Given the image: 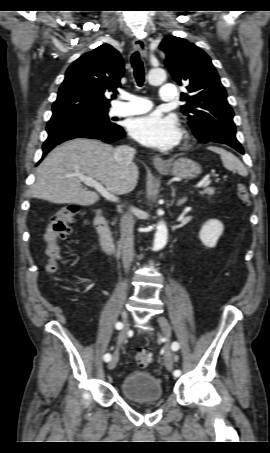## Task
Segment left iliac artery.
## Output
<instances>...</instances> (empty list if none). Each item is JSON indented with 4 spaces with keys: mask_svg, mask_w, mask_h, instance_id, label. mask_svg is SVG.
I'll return each instance as SVG.
<instances>
[{
    "mask_svg": "<svg viewBox=\"0 0 270 453\" xmlns=\"http://www.w3.org/2000/svg\"><path fill=\"white\" fill-rule=\"evenodd\" d=\"M171 348L173 351H177L179 349V344L177 342H173ZM173 374L175 377H179L181 375V371L175 370Z\"/></svg>",
    "mask_w": 270,
    "mask_h": 453,
    "instance_id": "left-iliac-artery-1",
    "label": "left iliac artery"
}]
</instances>
